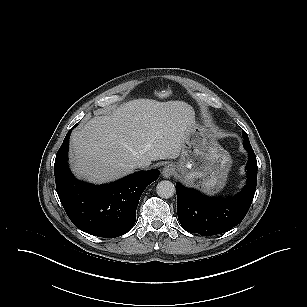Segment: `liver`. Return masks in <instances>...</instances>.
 <instances>
[{"label": "liver", "mask_w": 307, "mask_h": 307, "mask_svg": "<svg viewBox=\"0 0 307 307\" xmlns=\"http://www.w3.org/2000/svg\"><path fill=\"white\" fill-rule=\"evenodd\" d=\"M193 119V108L182 101L124 103L73 131L72 170L79 178L105 183L132 173L138 160L150 165L155 160L176 159Z\"/></svg>", "instance_id": "obj_1"}]
</instances>
